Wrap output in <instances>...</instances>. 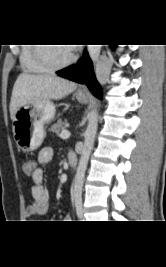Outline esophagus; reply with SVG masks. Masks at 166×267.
I'll return each mask as SVG.
<instances>
[{
	"label": "esophagus",
	"mask_w": 166,
	"mask_h": 267,
	"mask_svg": "<svg viewBox=\"0 0 166 267\" xmlns=\"http://www.w3.org/2000/svg\"><path fill=\"white\" fill-rule=\"evenodd\" d=\"M79 90L84 91L85 89L83 87H81Z\"/></svg>",
	"instance_id": "obj_1"
}]
</instances>
